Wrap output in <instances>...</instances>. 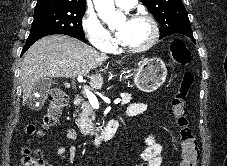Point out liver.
<instances>
[{"instance_id":"liver-1","label":"liver","mask_w":227,"mask_h":166,"mask_svg":"<svg viewBox=\"0 0 227 166\" xmlns=\"http://www.w3.org/2000/svg\"><path fill=\"white\" fill-rule=\"evenodd\" d=\"M105 59L91 46L70 36L41 38L28 49L20 68L23 105L31 97L34 84L42 78H75L82 75L89 78L92 88L101 89L102 74L89 75V72L102 66Z\"/></svg>"}]
</instances>
